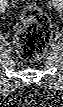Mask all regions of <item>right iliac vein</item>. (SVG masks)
Listing matches in <instances>:
<instances>
[{"instance_id":"1","label":"right iliac vein","mask_w":63,"mask_h":107,"mask_svg":"<svg viewBox=\"0 0 63 107\" xmlns=\"http://www.w3.org/2000/svg\"><path fill=\"white\" fill-rule=\"evenodd\" d=\"M8 4L7 1H3L2 3H0V12H5L6 8H7Z\"/></svg>"}]
</instances>
